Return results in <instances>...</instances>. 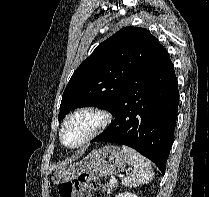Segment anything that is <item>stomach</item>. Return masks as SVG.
<instances>
[{
    "instance_id": "0dacf381",
    "label": "stomach",
    "mask_w": 209,
    "mask_h": 197,
    "mask_svg": "<svg viewBox=\"0 0 209 197\" xmlns=\"http://www.w3.org/2000/svg\"><path fill=\"white\" fill-rule=\"evenodd\" d=\"M127 162L124 151L117 146H105L91 151L83 160L58 168L53 176L54 184L68 182L81 173L90 176L105 177L121 172Z\"/></svg>"
}]
</instances>
